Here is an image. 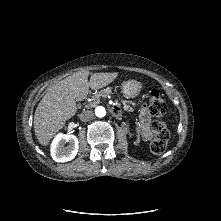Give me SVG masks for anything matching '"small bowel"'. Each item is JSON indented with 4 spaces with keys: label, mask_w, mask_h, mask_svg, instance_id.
I'll return each instance as SVG.
<instances>
[{
    "label": "small bowel",
    "mask_w": 221,
    "mask_h": 221,
    "mask_svg": "<svg viewBox=\"0 0 221 221\" xmlns=\"http://www.w3.org/2000/svg\"><path fill=\"white\" fill-rule=\"evenodd\" d=\"M139 122L143 138L148 141L153 137L151 129V116L146 107H141L139 111Z\"/></svg>",
    "instance_id": "1"
}]
</instances>
